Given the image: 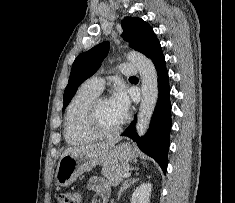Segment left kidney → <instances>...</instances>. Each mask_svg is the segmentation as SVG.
I'll return each instance as SVG.
<instances>
[{"instance_id": "obj_1", "label": "left kidney", "mask_w": 235, "mask_h": 203, "mask_svg": "<svg viewBox=\"0 0 235 203\" xmlns=\"http://www.w3.org/2000/svg\"><path fill=\"white\" fill-rule=\"evenodd\" d=\"M151 189V183L138 186L132 194L131 203H150Z\"/></svg>"}]
</instances>
